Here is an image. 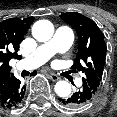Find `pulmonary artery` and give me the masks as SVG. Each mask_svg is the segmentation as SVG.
Wrapping results in <instances>:
<instances>
[{"label":"pulmonary artery","instance_id":"obj_1","mask_svg":"<svg viewBox=\"0 0 117 117\" xmlns=\"http://www.w3.org/2000/svg\"><path fill=\"white\" fill-rule=\"evenodd\" d=\"M73 39V32L69 27H58L49 41L40 45L32 54L21 61L22 66L26 69H33L43 65L56 53H63L69 50ZM76 83L81 85L82 80L78 78Z\"/></svg>","mask_w":117,"mask_h":117}]
</instances>
